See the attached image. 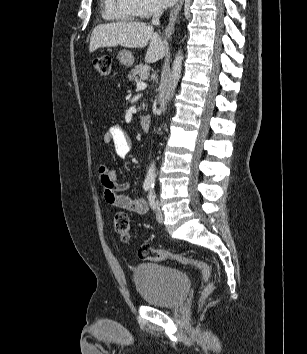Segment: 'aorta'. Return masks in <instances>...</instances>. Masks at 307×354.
I'll use <instances>...</instances> for the list:
<instances>
[{"instance_id":"obj_1","label":"aorta","mask_w":307,"mask_h":354,"mask_svg":"<svg viewBox=\"0 0 307 354\" xmlns=\"http://www.w3.org/2000/svg\"><path fill=\"white\" fill-rule=\"evenodd\" d=\"M182 61H183V55L182 52L179 50L178 53L175 56V59L172 64V70H171V86L169 89V94H168V100H170L175 92V88L178 84V81L180 79V74L182 70ZM155 178H156V167H155V162H151L147 174L145 177V184L148 185H154L155 183Z\"/></svg>"}]
</instances>
